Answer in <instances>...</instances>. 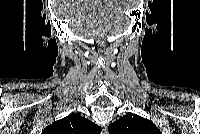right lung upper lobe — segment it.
Segmentation results:
<instances>
[{
	"mask_svg": "<svg viewBox=\"0 0 200 134\" xmlns=\"http://www.w3.org/2000/svg\"><path fill=\"white\" fill-rule=\"evenodd\" d=\"M101 128L81 117L79 114H70L55 121L43 131L44 134H99Z\"/></svg>",
	"mask_w": 200,
	"mask_h": 134,
	"instance_id": "right-lung-upper-lobe-1",
	"label": "right lung upper lobe"
}]
</instances>
